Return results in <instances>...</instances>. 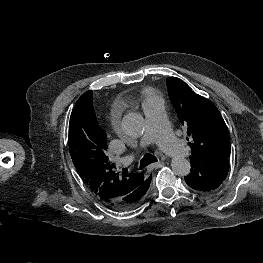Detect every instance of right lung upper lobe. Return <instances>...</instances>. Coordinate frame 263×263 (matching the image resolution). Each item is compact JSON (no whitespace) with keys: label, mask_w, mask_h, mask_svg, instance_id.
I'll return each instance as SVG.
<instances>
[{"label":"right lung upper lobe","mask_w":263,"mask_h":263,"mask_svg":"<svg viewBox=\"0 0 263 263\" xmlns=\"http://www.w3.org/2000/svg\"><path fill=\"white\" fill-rule=\"evenodd\" d=\"M68 143L76 171L104 204L130 209L139 203L150 177L116 172L108 157L106 133L95 116L92 91L85 92L72 110Z\"/></svg>","instance_id":"1"}]
</instances>
